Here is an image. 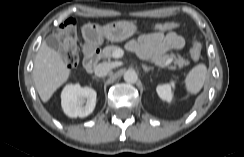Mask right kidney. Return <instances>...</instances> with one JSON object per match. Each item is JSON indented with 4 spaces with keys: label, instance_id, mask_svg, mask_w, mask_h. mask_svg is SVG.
<instances>
[{
    "label": "right kidney",
    "instance_id": "right-kidney-1",
    "mask_svg": "<svg viewBox=\"0 0 244 157\" xmlns=\"http://www.w3.org/2000/svg\"><path fill=\"white\" fill-rule=\"evenodd\" d=\"M96 97V91L92 88L69 84L61 94L63 111L69 117H86L93 112Z\"/></svg>",
    "mask_w": 244,
    "mask_h": 157
}]
</instances>
